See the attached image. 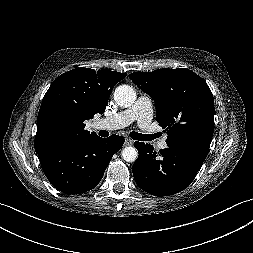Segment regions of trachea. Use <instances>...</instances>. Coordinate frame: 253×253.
Listing matches in <instances>:
<instances>
[{"label": "trachea", "instance_id": "1", "mask_svg": "<svg viewBox=\"0 0 253 253\" xmlns=\"http://www.w3.org/2000/svg\"><path fill=\"white\" fill-rule=\"evenodd\" d=\"M100 135L102 137H107L109 135L108 132L106 131H101L100 132ZM130 137L134 140H139V141H148V140H151L152 139V136L150 135H144V134H140L138 132H130Z\"/></svg>", "mask_w": 253, "mask_h": 253}]
</instances>
